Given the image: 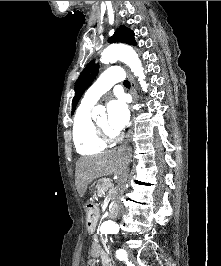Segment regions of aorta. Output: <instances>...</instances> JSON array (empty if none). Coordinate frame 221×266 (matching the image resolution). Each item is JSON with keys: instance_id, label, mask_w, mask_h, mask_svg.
I'll return each mask as SVG.
<instances>
[{"instance_id": "762f6f07", "label": "aorta", "mask_w": 221, "mask_h": 266, "mask_svg": "<svg viewBox=\"0 0 221 266\" xmlns=\"http://www.w3.org/2000/svg\"><path fill=\"white\" fill-rule=\"evenodd\" d=\"M120 60L127 64L142 86V89L146 91L147 85L144 81L145 75L143 68L141 67V61L138 58L136 52L129 46L123 44H112L106 47L101 53L100 61L103 64L113 63ZM97 109L93 110L95 114ZM100 230L108 234H116L120 231L119 225L112 220L105 221L101 224Z\"/></svg>"}]
</instances>
